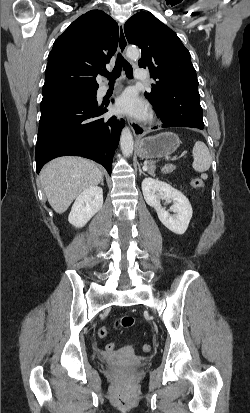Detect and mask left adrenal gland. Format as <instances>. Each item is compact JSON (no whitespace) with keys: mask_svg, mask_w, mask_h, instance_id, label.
Instances as JSON below:
<instances>
[{"mask_svg":"<svg viewBox=\"0 0 250 413\" xmlns=\"http://www.w3.org/2000/svg\"><path fill=\"white\" fill-rule=\"evenodd\" d=\"M139 174H140V175H141V174L146 175L145 172H143V171L141 170L140 166H139Z\"/></svg>","mask_w":250,"mask_h":413,"instance_id":"obj_1","label":"left adrenal gland"}]
</instances>
